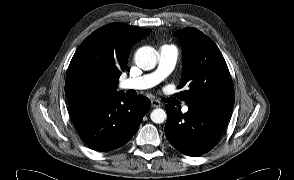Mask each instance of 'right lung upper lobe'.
I'll list each match as a JSON object with an SVG mask.
<instances>
[{"label":"right lung upper lobe","instance_id":"obj_1","mask_svg":"<svg viewBox=\"0 0 294 180\" xmlns=\"http://www.w3.org/2000/svg\"><path fill=\"white\" fill-rule=\"evenodd\" d=\"M150 31L111 23L90 34L76 50L67 70L65 95L69 106L121 93L117 92V85L131 47ZM86 74H93L96 79L89 89L82 86Z\"/></svg>","mask_w":294,"mask_h":180}]
</instances>
